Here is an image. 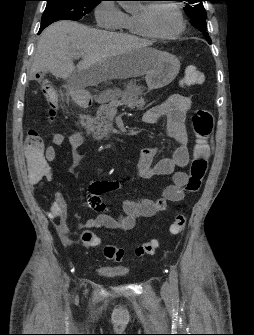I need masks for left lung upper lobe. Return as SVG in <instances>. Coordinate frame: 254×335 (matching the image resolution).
<instances>
[{
    "instance_id": "5c2ea615",
    "label": "left lung upper lobe",
    "mask_w": 254,
    "mask_h": 335,
    "mask_svg": "<svg viewBox=\"0 0 254 335\" xmlns=\"http://www.w3.org/2000/svg\"><path fill=\"white\" fill-rule=\"evenodd\" d=\"M188 2L184 10L186 14L191 18V23L195 26L198 30L204 33L207 41H211L209 34L206 32L207 24L206 19L207 15L203 6L202 0H183Z\"/></svg>"
}]
</instances>
